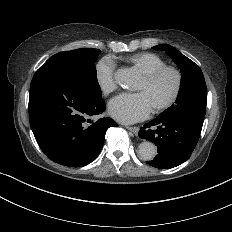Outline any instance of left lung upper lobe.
I'll return each mask as SVG.
<instances>
[{"mask_svg":"<svg viewBox=\"0 0 232 232\" xmlns=\"http://www.w3.org/2000/svg\"><path fill=\"white\" fill-rule=\"evenodd\" d=\"M165 51L182 72L181 88L174 105L158 117L181 120L201 132L207 103V87L199 66L168 44L153 47Z\"/></svg>","mask_w":232,"mask_h":232,"instance_id":"obj_1","label":"left lung upper lobe"}]
</instances>
